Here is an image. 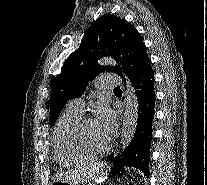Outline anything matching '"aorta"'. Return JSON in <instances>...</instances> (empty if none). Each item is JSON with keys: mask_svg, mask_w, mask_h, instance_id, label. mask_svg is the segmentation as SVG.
<instances>
[{"mask_svg": "<svg viewBox=\"0 0 207 185\" xmlns=\"http://www.w3.org/2000/svg\"><path fill=\"white\" fill-rule=\"evenodd\" d=\"M101 64L105 65H115L116 61L111 58H104ZM138 120V100L135 94L134 87L131 85L129 80L127 81L126 91H125V111L122 120V130H121V150H125L130 142L132 141L134 134L137 129Z\"/></svg>", "mask_w": 207, "mask_h": 185, "instance_id": "1", "label": "aorta"}]
</instances>
